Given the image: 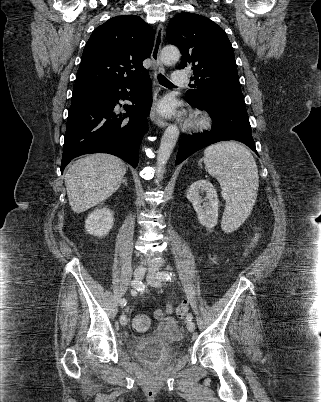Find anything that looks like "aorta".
I'll use <instances>...</instances> for the list:
<instances>
[{
    "label": "aorta",
    "mask_w": 321,
    "mask_h": 402,
    "mask_svg": "<svg viewBox=\"0 0 321 402\" xmlns=\"http://www.w3.org/2000/svg\"><path fill=\"white\" fill-rule=\"evenodd\" d=\"M180 58V51L175 46H166L161 51V62L166 66H171ZM179 137V129L176 125H169L165 130L160 147L157 151L156 175L158 179L163 178L165 165L177 143Z\"/></svg>",
    "instance_id": "1"
}]
</instances>
